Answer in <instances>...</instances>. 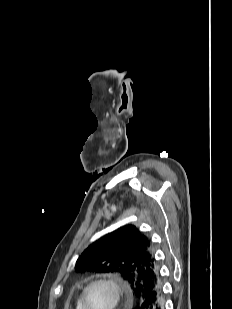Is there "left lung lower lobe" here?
Masks as SVG:
<instances>
[{
  "instance_id": "left-lung-lower-lobe-1",
  "label": "left lung lower lobe",
  "mask_w": 232,
  "mask_h": 309,
  "mask_svg": "<svg viewBox=\"0 0 232 309\" xmlns=\"http://www.w3.org/2000/svg\"><path fill=\"white\" fill-rule=\"evenodd\" d=\"M165 298L162 290V282L159 274L152 278L145 295L138 302L136 309H164Z\"/></svg>"
}]
</instances>
